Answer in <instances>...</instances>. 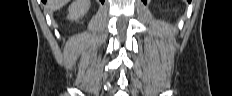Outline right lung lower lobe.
<instances>
[{
	"instance_id": "98d812e1",
	"label": "right lung lower lobe",
	"mask_w": 232,
	"mask_h": 96,
	"mask_svg": "<svg viewBox=\"0 0 232 96\" xmlns=\"http://www.w3.org/2000/svg\"><path fill=\"white\" fill-rule=\"evenodd\" d=\"M44 3L46 2V0H42ZM101 1V3H104V0H100Z\"/></svg>"
}]
</instances>
